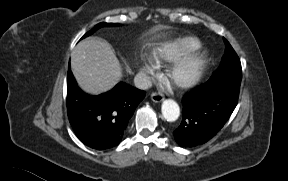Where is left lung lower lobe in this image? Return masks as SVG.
I'll return each instance as SVG.
<instances>
[{
	"instance_id": "obj_1",
	"label": "left lung lower lobe",
	"mask_w": 288,
	"mask_h": 181,
	"mask_svg": "<svg viewBox=\"0 0 288 181\" xmlns=\"http://www.w3.org/2000/svg\"><path fill=\"white\" fill-rule=\"evenodd\" d=\"M239 89L213 84L210 79L183 97V119L173 132L182 147L206 143L224 126L234 111Z\"/></svg>"
}]
</instances>
